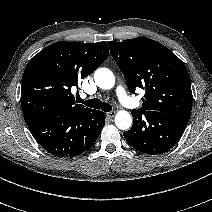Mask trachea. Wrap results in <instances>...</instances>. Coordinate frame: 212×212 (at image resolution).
Listing matches in <instances>:
<instances>
[{
	"mask_svg": "<svg viewBox=\"0 0 212 212\" xmlns=\"http://www.w3.org/2000/svg\"><path fill=\"white\" fill-rule=\"evenodd\" d=\"M80 103L85 104L90 108L101 109L104 112H110L112 110V106L108 103L102 102L100 99L94 98L87 101L79 99Z\"/></svg>",
	"mask_w": 212,
	"mask_h": 212,
	"instance_id": "1",
	"label": "trachea"
}]
</instances>
